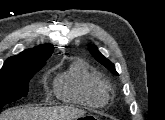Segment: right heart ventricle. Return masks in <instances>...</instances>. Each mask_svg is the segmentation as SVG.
I'll use <instances>...</instances> for the list:
<instances>
[{
  "label": "right heart ventricle",
  "instance_id": "right-heart-ventricle-1",
  "mask_svg": "<svg viewBox=\"0 0 165 120\" xmlns=\"http://www.w3.org/2000/svg\"><path fill=\"white\" fill-rule=\"evenodd\" d=\"M56 95L69 102L98 107L108 100L106 84L81 61H74L54 82Z\"/></svg>",
  "mask_w": 165,
  "mask_h": 120
}]
</instances>
